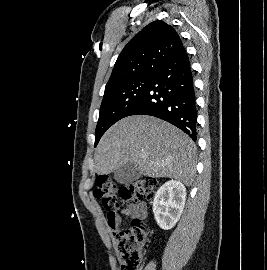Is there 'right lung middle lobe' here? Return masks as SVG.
<instances>
[{
  "label": "right lung middle lobe",
  "instance_id": "right-lung-middle-lobe-1",
  "mask_svg": "<svg viewBox=\"0 0 267 270\" xmlns=\"http://www.w3.org/2000/svg\"><path fill=\"white\" fill-rule=\"evenodd\" d=\"M153 76H142L105 90L96 126L95 146L118 120L126 117L148 90Z\"/></svg>",
  "mask_w": 267,
  "mask_h": 270
}]
</instances>
